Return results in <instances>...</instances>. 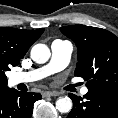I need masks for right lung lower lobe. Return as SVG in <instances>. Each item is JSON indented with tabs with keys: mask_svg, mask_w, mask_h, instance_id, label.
I'll return each instance as SVG.
<instances>
[{
	"mask_svg": "<svg viewBox=\"0 0 118 118\" xmlns=\"http://www.w3.org/2000/svg\"><path fill=\"white\" fill-rule=\"evenodd\" d=\"M40 99L39 93L0 90V118H30L34 103Z\"/></svg>",
	"mask_w": 118,
	"mask_h": 118,
	"instance_id": "obj_1",
	"label": "right lung lower lobe"
}]
</instances>
